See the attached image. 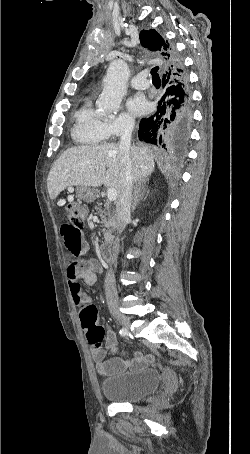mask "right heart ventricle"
<instances>
[{
  "instance_id": "right-heart-ventricle-1",
  "label": "right heart ventricle",
  "mask_w": 250,
  "mask_h": 454,
  "mask_svg": "<svg viewBox=\"0 0 250 454\" xmlns=\"http://www.w3.org/2000/svg\"><path fill=\"white\" fill-rule=\"evenodd\" d=\"M71 136L76 143L87 146L98 145L108 138L105 121L95 112L90 102L76 112Z\"/></svg>"
}]
</instances>
